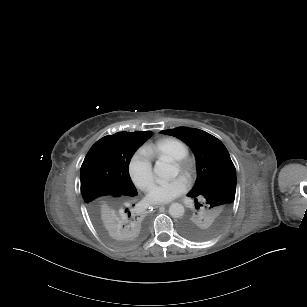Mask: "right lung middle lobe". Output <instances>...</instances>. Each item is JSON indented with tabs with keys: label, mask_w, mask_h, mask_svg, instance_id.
<instances>
[{
	"label": "right lung middle lobe",
	"mask_w": 307,
	"mask_h": 307,
	"mask_svg": "<svg viewBox=\"0 0 307 307\" xmlns=\"http://www.w3.org/2000/svg\"><path fill=\"white\" fill-rule=\"evenodd\" d=\"M80 178L84 202L111 193L119 186L114 171L91 156L85 157L81 166Z\"/></svg>",
	"instance_id": "obj_1"
}]
</instances>
